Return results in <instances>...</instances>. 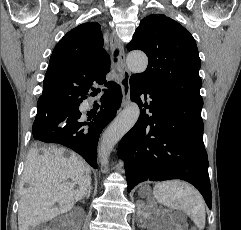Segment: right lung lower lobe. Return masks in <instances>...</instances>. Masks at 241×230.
Returning <instances> with one entry per match:
<instances>
[{"label": "right lung lower lobe", "instance_id": "right-lung-lower-lobe-1", "mask_svg": "<svg viewBox=\"0 0 241 230\" xmlns=\"http://www.w3.org/2000/svg\"><path fill=\"white\" fill-rule=\"evenodd\" d=\"M101 102L98 114L81 117L79 105L84 100L74 104L63 103L51 107L48 103H38V111L33 124V137L47 143H58L71 148L80 154L93 168H97V144L101 132L115 117L122 101L121 88L116 83L108 86ZM86 99V98H85ZM59 118L72 119L70 122L58 126H51V122Z\"/></svg>", "mask_w": 241, "mask_h": 230}]
</instances>
